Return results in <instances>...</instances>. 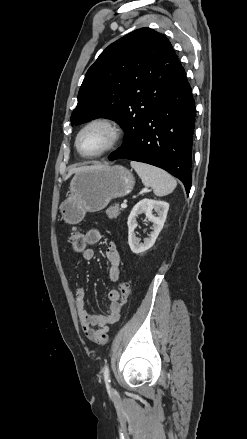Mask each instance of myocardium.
<instances>
[{
  "instance_id": "f54148a6",
  "label": "myocardium",
  "mask_w": 247,
  "mask_h": 439,
  "mask_svg": "<svg viewBox=\"0 0 247 439\" xmlns=\"http://www.w3.org/2000/svg\"><path fill=\"white\" fill-rule=\"evenodd\" d=\"M95 125L105 126L109 130L111 138H110V141L107 144V146L104 147L103 149H101L100 151L95 152V153H91V154H86L80 148V145H79L80 138L87 129H89L90 127L95 126ZM122 135H123V130H122V127L118 123L117 120H115L114 118H111V117H107V116H99V117L92 118L91 120L86 122L83 125V127L79 130V132L76 136L75 146H76L78 153L81 156L86 157V158H95V157L102 156V155L106 154L107 152L113 150L121 141Z\"/></svg>"
}]
</instances>
